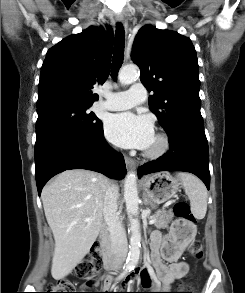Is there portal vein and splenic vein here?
Segmentation results:
<instances>
[{"label":"portal vein and splenic vein","mask_w":245,"mask_h":293,"mask_svg":"<svg viewBox=\"0 0 245 293\" xmlns=\"http://www.w3.org/2000/svg\"><path fill=\"white\" fill-rule=\"evenodd\" d=\"M154 222V220L150 221V223Z\"/></svg>","instance_id":"1"}]
</instances>
